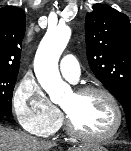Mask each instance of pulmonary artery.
Returning <instances> with one entry per match:
<instances>
[{
  "mask_svg": "<svg viewBox=\"0 0 131 151\" xmlns=\"http://www.w3.org/2000/svg\"><path fill=\"white\" fill-rule=\"evenodd\" d=\"M60 72L64 78L76 82L80 77V67L74 55H65L60 61Z\"/></svg>",
  "mask_w": 131,
  "mask_h": 151,
  "instance_id": "obj_1",
  "label": "pulmonary artery"
}]
</instances>
